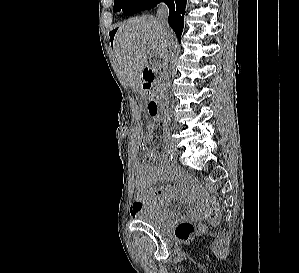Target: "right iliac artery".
Instances as JSON below:
<instances>
[{
	"label": "right iliac artery",
	"instance_id": "82829eb1",
	"mask_svg": "<svg viewBox=\"0 0 299 273\" xmlns=\"http://www.w3.org/2000/svg\"><path fill=\"white\" fill-rule=\"evenodd\" d=\"M163 157H164L165 160H167L169 162L173 160V155L168 151H165L163 153Z\"/></svg>",
	"mask_w": 299,
	"mask_h": 273
}]
</instances>
